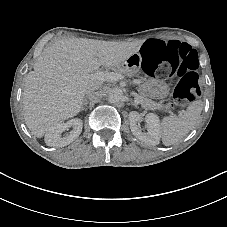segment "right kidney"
<instances>
[{"label":"right kidney","mask_w":227,"mask_h":227,"mask_svg":"<svg viewBox=\"0 0 227 227\" xmlns=\"http://www.w3.org/2000/svg\"><path fill=\"white\" fill-rule=\"evenodd\" d=\"M73 127L67 135L62 137L64 130ZM83 122L80 119H72L67 123L60 121L49 127L44 135V142L51 147H61L72 143L81 134Z\"/></svg>","instance_id":"obj_1"}]
</instances>
